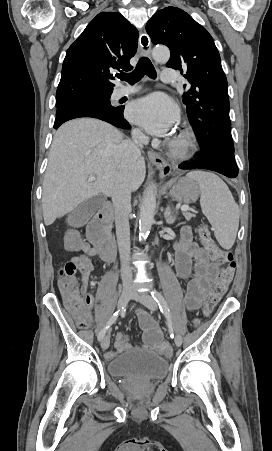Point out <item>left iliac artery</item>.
<instances>
[{
    "mask_svg": "<svg viewBox=\"0 0 272 451\" xmlns=\"http://www.w3.org/2000/svg\"><path fill=\"white\" fill-rule=\"evenodd\" d=\"M151 295L156 300V302H157V304H158V306L160 308V311L165 315V317L167 319L169 331L171 333L170 337L174 338L170 309L168 307V304H167L166 300L164 299L162 294L160 292H158L157 290H152L151 291Z\"/></svg>",
    "mask_w": 272,
    "mask_h": 451,
    "instance_id": "obj_1",
    "label": "left iliac artery"
}]
</instances>
